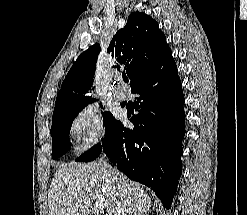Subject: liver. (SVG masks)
<instances>
[{
  "instance_id": "1",
  "label": "liver",
  "mask_w": 247,
  "mask_h": 215,
  "mask_svg": "<svg viewBox=\"0 0 247 215\" xmlns=\"http://www.w3.org/2000/svg\"><path fill=\"white\" fill-rule=\"evenodd\" d=\"M98 199L104 201L106 215H146L151 207V198L136 182L94 162L56 171L48 192L49 215H88Z\"/></svg>"
}]
</instances>
